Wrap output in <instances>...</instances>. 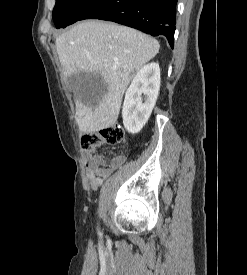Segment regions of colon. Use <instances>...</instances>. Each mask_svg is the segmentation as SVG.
<instances>
[{
    "label": "colon",
    "instance_id": "5ec220e1",
    "mask_svg": "<svg viewBox=\"0 0 247 275\" xmlns=\"http://www.w3.org/2000/svg\"><path fill=\"white\" fill-rule=\"evenodd\" d=\"M124 131L119 125H112L96 132L81 135L80 145L86 151H92L102 144L117 145L124 141Z\"/></svg>",
    "mask_w": 247,
    "mask_h": 275
}]
</instances>
